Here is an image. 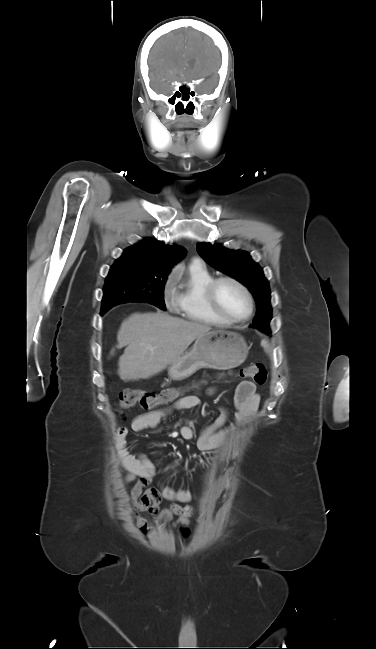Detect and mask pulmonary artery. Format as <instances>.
<instances>
[{"label": "pulmonary artery", "instance_id": "pulmonary-artery-1", "mask_svg": "<svg viewBox=\"0 0 376 649\" xmlns=\"http://www.w3.org/2000/svg\"><path fill=\"white\" fill-rule=\"evenodd\" d=\"M194 262H200V260H199V259H195Z\"/></svg>", "mask_w": 376, "mask_h": 649}]
</instances>
